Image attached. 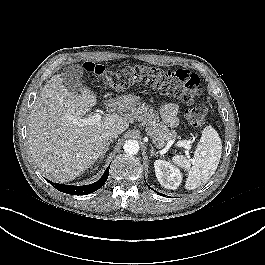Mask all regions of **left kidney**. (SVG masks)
I'll return each mask as SVG.
<instances>
[{"instance_id": "5707ae66", "label": "left kidney", "mask_w": 265, "mask_h": 265, "mask_svg": "<svg viewBox=\"0 0 265 265\" xmlns=\"http://www.w3.org/2000/svg\"><path fill=\"white\" fill-rule=\"evenodd\" d=\"M156 177L164 188L176 190L181 181L182 173L180 170L165 160H156L154 162Z\"/></svg>"}]
</instances>
